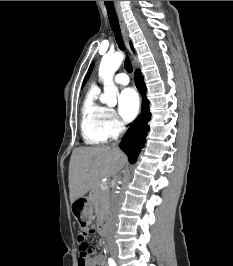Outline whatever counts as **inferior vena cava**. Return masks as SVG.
<instances>
[{"label": "inferior vena cava", "mask_w": 233, "mask_h": 266, "mask_svg": "<svg viewBox=\"0 0 233 266\" xmlns=\"http://www.w3.org/2000/svg\"><path fill=\"white\" fill-rule=\"evenodd\" d=\"M124 130H125V126L122 125L121 131H124ZM119 206H120L119 197L117 194H113V203H112L111 214L109 218V230H108L110 239L112 238L116 230Z\"/></svg>", "instance_id": "602c4592"}]
</instances>
